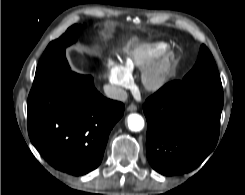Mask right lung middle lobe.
Listing matches in <instances>:
<instances>
[{
  "label": "right lung middle lobe",
  "mask_w": 245,
  "mask_h": 195,
  "mask_svg": "<svg viewBox=\"0 0 245 195\" xmlns=\"http://www.w3.org/2000/svg\"><path fill=\"white\" fill-rule=\"evenodd\" d=\"M83 26H71L59 39L52 41L43 53L35 74L33 87H38L57 77L70 73L65 49L77 40Z\"/></svg>",
  "instance_id": "right-lung-middle-lobe-1"
}]
</instances>
